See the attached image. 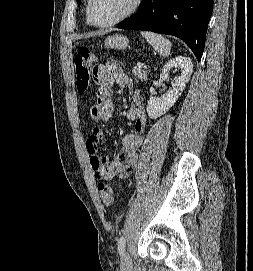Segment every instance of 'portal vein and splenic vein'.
<instances>
[{
	"label": "portal vein and splenic vein",
	"mask_w": 253,
	"mask_h": 271,
	"mask_svg": "<svg viewBox=\"0 0 253 271\" xmlns=\"http://www.w3.org/2000/svg\"><path fill=\"white\" fill-rule=\"evenodd\" d=\"M137 66H138L139 68H142V67H143V63H140V62H139V63L137 64Z\"/></svg>",
	"instance_id": "portal-vein-and-splenic-vein-1"
}]
</instances>
